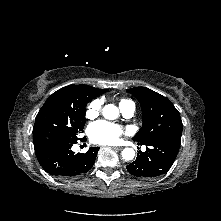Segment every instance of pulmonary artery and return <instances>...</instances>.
<instances>
[{
  "mask_svg": "<svg viewBox=\"0 0 221 221\" xmlns=\"http://www.w3.org/2000/svg\"><path fill=\"white\" fill-rule=\"evenodd\" d=\"M121 111H122V113H123V115H124L125 117H131V116H133L134 111H135V105H134V103L131 102L130 104H128V105L122 107V108H121Z\"/></svg>",
  "mask_w": 221,
  "mask_h": 221,
  "instance_id": "e3ab8cb5",
  "label": "pulmonary artery"
}]
</instances>
